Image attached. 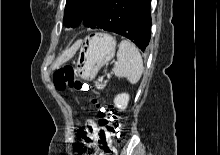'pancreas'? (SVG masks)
Wrapping results in <instances>:
<instances>
[{"label": "pancreas", "mask_w": 220, "mask_h": 155, "mask_svg": "<svg viewBox=\"0 0 220 155\" xmlns=\"http://www.w3.org/2000/svg\"><path fill=\"white\" fill-rule=\"evenodd\" d=\"M96 86H97L99 89H103V88H104V84H101V83H97Z\"/></svg>", "instance_id": "1"}]
</instances>
